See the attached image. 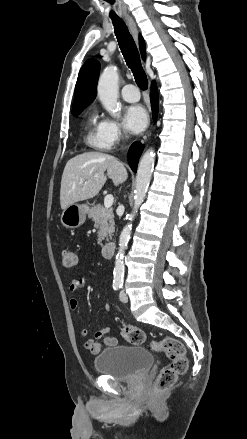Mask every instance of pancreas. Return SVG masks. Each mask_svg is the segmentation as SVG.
Returning <instances> with one entry per match:
<instances>
[{
  "label": "pancreas",
  "mask_w": 247,
  "mask_h": 439,
  "mask_svg": "<svg viewBox=\"0 0 247 439\" xmlns=\"http://www.w3.org/2000/svg\"><path fill=\"white\" fill-rule=\"evenodd\" d=\"M88 217L92 219L98 230V240L97 243L102 246V241L111 239L114 232V215L112 209H107L100 204L94 205L88 211Z\"/></svg>",
  "instance_id": "1"
}]
</instances>
